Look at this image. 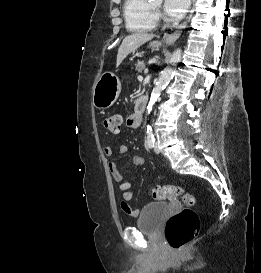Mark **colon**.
<instances>
[{
  "label": "colon",
  "mask_w": 261,
  "mask_h": 273,
  "mask_svg": "<svg viewBox=\"0 0 261 273\" xmlns=\"http://www.w3.org/2000/svg\"><path fill=\"white\" fill-rule=\"evenodd\" d=\"M120 115H109L104 120V125L110 131H118L121 126ZM152 195L157 200L170 199L182 196L187 208L177 212L167 222L165 238L169 246L175 251H182L198 234L200 219L190 207L195 205L193 194L187 193L180 185H165L154 189Z\"/></svg>",
  "instance_id": "colon-1"
}]
</instances>
